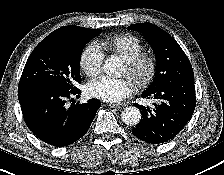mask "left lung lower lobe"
Instances as JSON below:
<instances>
[{"instance_id": "left-lung-lower-lobe-1", "label": "left lung lower lobe", "mask_w": 224, "mask_h": 175, "mask_svg": "<svg viewBox=\"0 0 224 175\" xmlns=\"http://www.w3.org/2000/svg\"><path fill=\"white\" fill-rule=\"evenodd\" d=\"M141 97L153 98L156 103L152 109L135 104L142 116L139 124L132 129V134L147 143H165L185 127L194 112V79L165 83L156 89L144 91Z\"/></svg>"}]
</instances>
